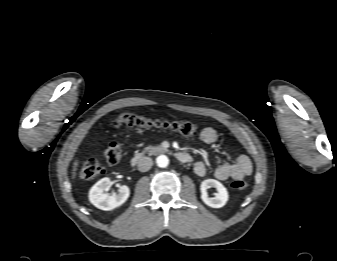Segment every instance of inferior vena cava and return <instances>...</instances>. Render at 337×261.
I'll use <instances>...</instances> for the list:
<instances>
[{"label": "inferior vena cava", "mask_w": 337, "mask_h": 261, "mask_svg": "<svg viewBox=\"0 0 337 261\" xmlns=\"http://www.w3.org/2000/svg\"><path fill=\"white\" fill-rule=\"evenodd\" d=\"M153 165V161L150 157H141L138 161V170L141 172L148 171Z\"/></svg>", "instance_id": "obj_1"}]
</instances>
